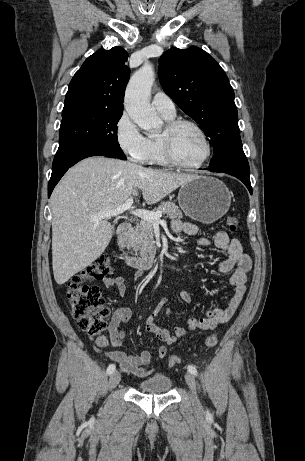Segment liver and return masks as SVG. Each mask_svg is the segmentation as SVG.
Returning <instances> with one entry per match:
<instances>
[{"instance_id": "liver-1", "label": "liver", "mask_w": 305, "mask_h": 461, "mask_svg": "<svg viewBox=\"0 0 305 461\" xmlns=\"http://www.w3.org/2000/svg\"><path fill=\"white\" fill-rule=\"evenodd\" d=\"M194 176L104 157L86 158L69 169L51 196L55 281L64 284L108 246L113 227L106 219L92 221V215L114 210L138 190L147 204H155Z\"/></svg>"}]
</instances>
